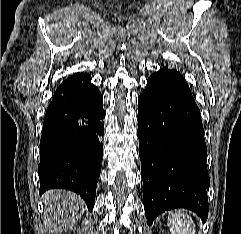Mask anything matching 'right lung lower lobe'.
Segmentation results:
<instances>
[{
	"label": "right lung lower lobe",
	"mask_w": 241,
	"mask_h": 234,
	"mask_svg": "<svg viewBox=\"0 0 241 234\" xmlns=\"http://www.w3.org/2000/svg\"><path fill=\"white\" fill-rule=\"evenodd\" d=\"M104 116L102 96L90 75L77 73L58 87L40 140V194L69 189L92 210L101 171Z\"/></svg>",
	"instance_id": "obj_1"
}]
</instances>
